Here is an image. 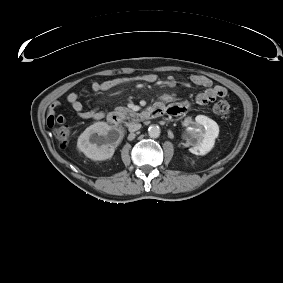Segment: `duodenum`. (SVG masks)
Masks as SVG:
<instances>
[{"label":"duodenum","mask_w":283,"mask_h":283,"mask_svg":"<svg viewBox=\"0 0 283 283\" xmlns=\"http://www.w3.org/2000/svg\"><path fill=\"white\" fill-rule=\"evenodd\" d=\"M163 112H164L163 106L161 104H157L148 110V115L149 116H159V115H162ZM107 120L111 125H114V126H118L121 123V117L116 112H111L108 115Z\"/></svg>","instance_id":"obj_1"}]
</instances>
